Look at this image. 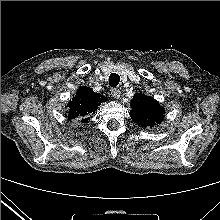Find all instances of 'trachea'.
Here are the masks:
<instances>
[{
	"label": "trachea",
	"instance_id": "trachea-1",
	"mask_svg": "<svg viewBox=\"0 0 220 220\" xmlns=\"http://www.w3.org/2000/svg\"><path fill=\"white\" fill-rule=\"evenodd\" d=\"M120 76L117 73H111L109 77V84L112 87H116L119 84Z\"/></svg>",
	"mask_w": 220,
	"mask_h": 220
}]
</instances>
